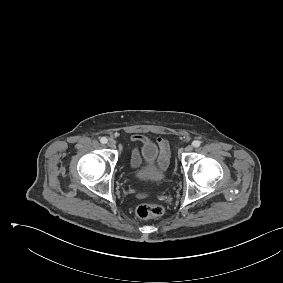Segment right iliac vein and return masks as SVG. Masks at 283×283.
Segmentation results:
<instances>
[{
    "instance_id": "1",
    "label": "right iliac vein",
    "mask_w": 283,
    "mask_h": 283,
    "mask_svg": "<svg viewBox=\"0 0 283 283\" xmlns=\"http://www.w3.org/2000/svg\"><path fill=\"white\" fill-rule=\"evenodd\" d=\"M107 146H108L109 148H112V149H114V148L116 147L115 142L112 141V140H110V141L107 143Z\"/></svg>"
}]
</instances>
